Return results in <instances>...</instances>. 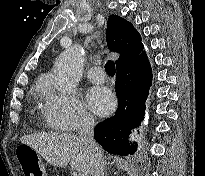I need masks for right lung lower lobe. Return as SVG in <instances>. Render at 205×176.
<instances>
[{"label":"right lung lower lobe","instance_id":"1","mask_svg":"<svg viewBox=\"0 0 205 176\" xmlns=\"http://www.w3.org/2000/svg\"><path fill=\"white\" fill-rule=\"evenodd\" d=\"M151 83L152 70L145 52L117 68L118 109L94 129L95 140L109 153L128 155L136 151V145H129L128 137L143 119Z\"/></svg>","mask_w":205,"mask_h":176}]
</instances>
